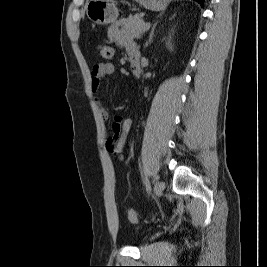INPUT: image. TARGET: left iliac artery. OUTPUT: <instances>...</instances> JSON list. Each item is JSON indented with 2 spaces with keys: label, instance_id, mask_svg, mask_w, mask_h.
<instances>
[{
  "label": "left iliac artery",
  "instance_id": "left-iliac-artery-1",
  "mask_svg": "<svg viewBox=\"0 0 267 267\" xmlns=\"http://www.w3.org/2000/svg\"><path fill=\"white\" fill-rule=\"evenodd\" d=\"M144 184L146 186V190L148 192H150L151 191V186H150V182H149V180L147 178L144 179Z\"/></svg>",
  "mask_w": 267,
  "mask_h": 267
}]
</instances>
